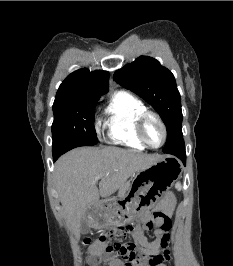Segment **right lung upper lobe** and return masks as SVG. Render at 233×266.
I'll list each match as a JSON object with an SVG mask.
<instances>
[{
  "label": "right lung upper lobe",
  "mask_w": 233,
  "mask_h": 266,
  "mask_svg": "<svg viewBox=\"0 0 233 266\" xmlns=\"http://www.w3.org/2000/svg\"><path fill=\"white\" fill-rule=\"evenodd\" d=\"M109 74L103 70L80 69L71 73L60 85L55 100L100 97L108 92Z\"/></svg>",
  "instance_id": "1"
}]
</instances>
